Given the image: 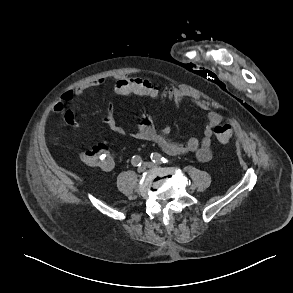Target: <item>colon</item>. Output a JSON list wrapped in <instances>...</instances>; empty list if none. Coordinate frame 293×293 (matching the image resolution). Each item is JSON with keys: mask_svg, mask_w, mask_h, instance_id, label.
Returning a JSON list of instances; mask_svg holds the SVG:
<instances>
[{"mask_svg": "<svg viewBox=\"0 0 293 293\" xmlns=\"http://www.w3.org/2000/svg\"><path fill=\"white\" fill-rule=\"evenodd\" d=\"M214 135L220 143H227L232 136V129L228 124H220L214 128ZM84 164L93 167L107 168L110 166L113 155L107 145L97 143L84 151L81 155Z\"/></svg>", "mask_w": 293, "mask_h": 293, "instance_id": "1", "label": "colon"}]
</instances>
